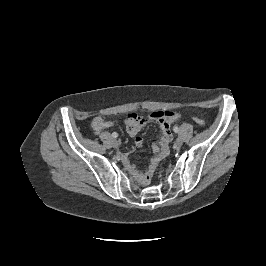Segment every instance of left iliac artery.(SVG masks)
Listing matches in <instances>:
<instances>
[{
	"mask_svg": "<svg viewBox=\"0 0 266 266\" xmlns=\"http://www.w3.org/2000/svg\"><path fill=\"white\" fill-rule=\"evenodd\" d=\"M173 131H174L175 133H178V132H179V128H178V127H174V128H173Z\"/></svg>",
	"mask_w": 266,
	"mask_h": 266,
	"instance_id": "left-iliac-artery-1",
	"label": "left iliac artery"
}]
</instances>
